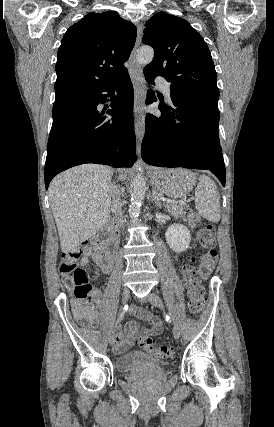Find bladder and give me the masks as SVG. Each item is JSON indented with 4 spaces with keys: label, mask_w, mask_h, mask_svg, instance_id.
I'll use <instances>...</instances> for the list:
<instances>
[{
    "label": "bladder",
    "mask_w": 274,
    "mask_h": 427,
    "mask_svg": "<svg viewBox=\"0 0 274 427\" xmlns=\"http://www.w3.org/2000/svg\"><path fill=\"white\" fill-rule=\"evenodd\" d=\"M166 362L151 359L145 352H126L116 356V367L121 373H129L135 369H146L159 372L165 368Z\"/></svg>",
    "instance_id": "31cf9c89"
}]
</instances>
